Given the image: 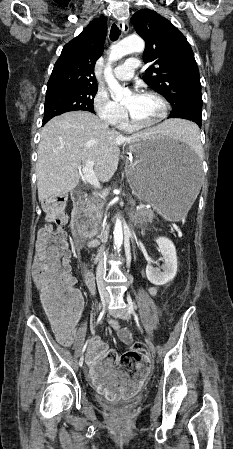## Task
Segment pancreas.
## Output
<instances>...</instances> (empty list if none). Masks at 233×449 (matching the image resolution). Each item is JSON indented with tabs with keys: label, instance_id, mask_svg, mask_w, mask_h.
Here are the masks:
<instances>
[{
	"label": "pancreas",
	"instance_id": "1",
	"mask_svg": "<svg viewBox=\"0 0 233 449\" xmlns=\"http://www.w3.org/2000/svg\"><path fill=\"white\" fill-rule=\"evenodd\" d=\"M103 207L104 202L102 199L96 195L90 197L86 206L85 212L89 217L90 224L94 228V233H97V228L102 223L103 219ZM154 212L150 209H141L130 212L131 219L137 224H147L152 222L154 218Z\"/></svg>",
	"mask_w": 233,
	"mask_h": 449
}]
</instances>
